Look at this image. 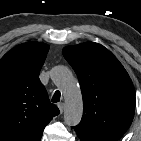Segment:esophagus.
<instances>
[{"label": "esophagus", "mask_w": 141, "mask_h": 141, "mask_svg": "<svg viewBox=\"0 0 141 141\" xmlns=\"http://www.w3.org/2000/svg\"><path fill=\"white\" fill-rule=\"evenodd\" d=\"M58 108H59V110H60V113H63L64 112V109H65V104L64 103H58Z\"/></svg>", "instance_id": "1"}]
</instances>
